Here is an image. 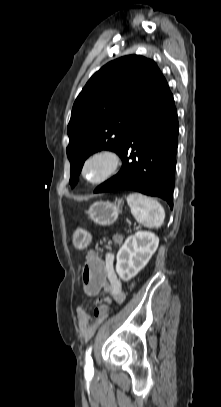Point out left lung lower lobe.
<instances>
[{
  "mask_svg": "<svg viewBox=\"0 0 221 407\" xmlns=\"http://www.w3.org/2000/svg\"><path fill=\"white\" fill-rule=\"evenodd\" d=\"M179 125L173 95L165 78L142 107L119 153V173L94 193L134 190L160 197L173 208Z\"/></svg>",
  "mask_w": 221,
  "mask_h": 407,
  "instance_id": "left-lung-lower-lobe-1",
  "label": "left lung lower lobe"
}]
</instances>
